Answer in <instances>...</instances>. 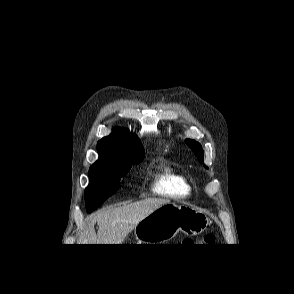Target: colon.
I'll list each match as a JSON object with an SVG mask.
<instances>
[{"instance_id":"obj_1","label":"colon","mask_w":294,"mask_h":294,"mask_svg":"<svg viewBox=\"0 0 294 294\" xmlns=\"http://www.w3.org/2000/svg\"><path fill=\"white\" fill-rule=\"evenodd\" d=\"M214 240L215 237L212 234H207L204 236V242L207 244L214 242Z\"/></svg>"}]
</instances>
